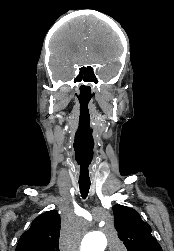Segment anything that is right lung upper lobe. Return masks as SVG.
<instances>
[{
    "instance_id": "obj_1",
    "label": "right lung upper lobe",
    "mask_w": 174,
    "mask_h": 251,
    "mask_svg": "<svg viewBox=\"0 0 174 251\" xmlns=\"http://www.w3.org/2000/svg\"><path fill=\"white\" fill-rule=\"evenodd\" d=\"M60 217L56 210L34 219L19 239L15 251H59Z\"/></svg>"
}]
</instances>
